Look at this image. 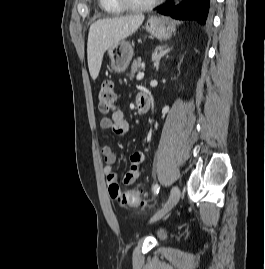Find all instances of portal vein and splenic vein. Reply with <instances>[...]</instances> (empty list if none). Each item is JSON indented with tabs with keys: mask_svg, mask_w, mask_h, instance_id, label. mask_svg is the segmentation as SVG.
<instances>
[{
	"mask_svg": "<svg viewBox=\"0 0 265 269\" xmlns=\"http://www.w3.org/2000/svg\"><path fill=\"white\" fill-rule=\"evenodd\" d=\"M137 80H141V79H143L144 78V72H139L138 74H137Z\"/></svg>",
	"mask_w": 265,
	"mask_h": 269,
	"instance_id": "portal-vein-and-splenic-vein-1",
	"label": "portal vein and splenic vein"
}]
</instances>
